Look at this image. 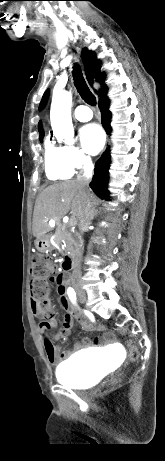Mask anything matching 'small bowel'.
Masks as SVG:
<instances>
[{
    "label": "small bowel",
    "instance_id": "c3829d8e",
    "mask_svg": "<svg viewBox=\"0 0 165 461\" xmlns=\"http://www.w3.org/2000/svg\"><path fill=\"white\" fill-rule=\"evenodd\" d=\"M65 277V271H57V275L55 276V282L57 283L58 288L57 296L60 299L61 306L66 311L63 317L62 325L58 333L53 336L55 340L67 337L70 333L74 318L79 317V315L75 313L70 300L67 298L68 293L65 288ZM31 310L34 316L42 319L38 328L40 336H43L46 333V331L53 329L57 326V320L55 318L54 312H52L50 316L45 315V313L38 308V306L33 300L31 301ZM82 325L85 329L88 330L93 328V326L85 320H82ZM96 344H98L97 339L84 338L81 341L77 342L72 349L61 351L56 346H54L51 341L45 340L44 349L46 351V355L49 362L51 364H58L60 361L68 359L74 352L82 348L88 347L90 345Z\"/></svg>",
    "mask_w": 165,
    "mask_h": 461
}]
</instances>
